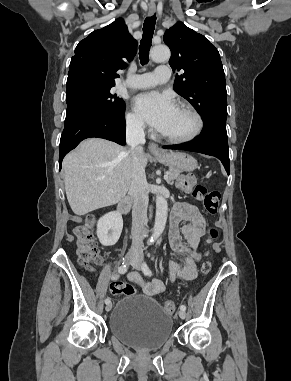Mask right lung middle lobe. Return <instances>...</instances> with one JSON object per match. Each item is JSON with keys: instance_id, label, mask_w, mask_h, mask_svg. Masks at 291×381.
Returning a JSON list of instances; mask_svg holds the SVG:
<instances>
[{"instance_id": "dd1d6c3e", "label": "right lung middle lobe", "mask_w": 291, "mask_h": 381, "mask_svg": "<svg viewBox=\"0 0 291 381\" xmlns=\"http://www.w3.org/2000/svg\"><path fill=\"white\" fill-rule=\"evenodd\" d=\"M115 84L101 83L91 79L75 77L67 80L66 99L83 98L96 107L100 113H122L125 111L124 101L113 94Z\"/></svg>"}]
</instances>
